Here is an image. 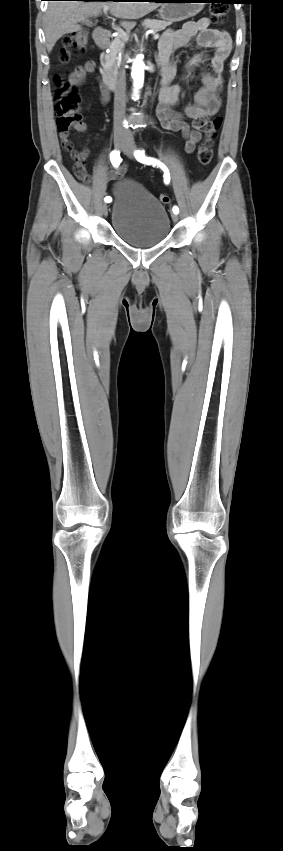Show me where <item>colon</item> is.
<instances>
[{"label":"colon","mask_w":283,"mask_h":851,"mask_svg":"<svg viewBox=\"0 0 283 851\" xmlns=\"http://www.w3.org/2000/svg\"><path fill=\"white\" fill-rule=\"evenodd\" d=\"M211 18L215 23H224L228 12V7L223 4H215L211 7ZM89 41L88 32L85 29H79L63 39V46L60 50L59 60L63 64H68L73 56V51H84ZM59 84V102L55 108V116L57 128L60 133H67L70 128L82 126L83 118L80 113V97L75 88H72L68 81L57 78ZM222 118L214 117L203 126L205 138L200 144L197 151L198 161L202 165H208L212 159V144L221 127ZM74 173L76 177L82 181L88 182L90 177L82 164H75ZM159 199L162 203L167 204L170 200L165 193L160 194Z\"/></svg>","instance_id":"5ec220e1"}]
</instances>
